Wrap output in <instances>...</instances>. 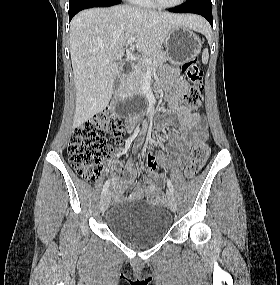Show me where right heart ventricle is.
Returning <instances> with one entry per match:
<instances>
[{"label": "right heart ventricle", "instance_id": "obj_1", "mask_svg": "<svg viewBox=\"0 0 280 285\" xmlns=\"http://www.w3.org/2000/svg\"><path fill=\"white\" fill-rule=\"evenodd\" d=\"M134 4L140 7H145V8H152L155 5L151 2V0H131Z\"/></svg>", "mask_w": 280, "mask_h": 285}]
</instances>
